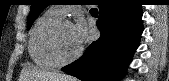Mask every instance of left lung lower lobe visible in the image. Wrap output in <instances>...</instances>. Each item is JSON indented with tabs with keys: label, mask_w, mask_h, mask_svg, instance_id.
Returning a JSON list of instances; mask_svg holds the SVG:
<instances>
[{
	"label": "left lung lower lobe",
	"mask_w": 169,
	"mask_h": 81,
	"mask_svg": "<svg viewBox=\"0 0 169 81\" xmlns=\"http://www.w3.org/2000/svg\"><path fill=\"white\" fill-rule=\"evenodd\" d=\"M98 6L100 38L62 70L82 81H120L139 46L142 5L134 0H100Z\"/></svg>",
	"instance_id": "obj_1"
}]
</instances>
